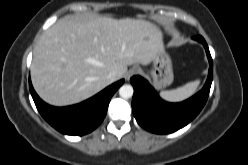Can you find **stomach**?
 <instances>
[{
    "mask_svg": "<svg viewBox=\"0 0 248 165\" xmlns=\"http://www.w3.org/2000/svg\"><path fill=\"white\" fill-rule=\"evenodd\" d=\"M152 68L150 75L153 79V84L157 89L169 86L174 79L172 61L164 49L156 52L152 59Z\"/></svg>",
    "mask_w": 248,
    "mask_h": 165,
    "instance_id": "0dacf381",
    "label": "stomach"
}]
</instances>
